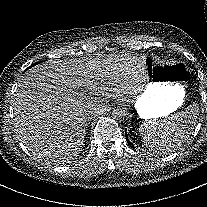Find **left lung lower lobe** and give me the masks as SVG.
Returning a JSON list of instances; mask_svg holds the SVG:
<instances>
[{"label":"left lung lower lobe","instance_id":"0a47b994","mask_svg":"<svg viewBox=\"0 0 207 207\" xmlns=\"http://www.w3.org/2000/svg\"><path fill=\"white\" fill-rule=\"evenodd\" d=\"M126 139H127V142L133 147L132 143L129 141V139L127 137V134H126Z\"/></svg>","mask_w":207,"mask_h":207}]
</instances>
